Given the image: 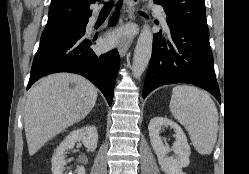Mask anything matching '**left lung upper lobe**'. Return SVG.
<instances>
[{"label": "left lung upper lobe", "instance_id": "1", "mask_svg": "<svg viewBox=\"0 0 249 174\" xmlns=\"http://www.w3.org/2000/svg\"><path fill=\"white\" fill-rule=\"evenodd\" d=\"M165 13L178 21L207 27L204 0H154Z\"/></svg>", "mask_w": 249, "mask_h": 174}]
</instances>
